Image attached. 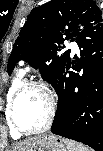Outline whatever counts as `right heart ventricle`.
I'll use <instances>...</instances> for the list:
<instances>
[{"instance_id": "obj_1", "label": "right heart ventricle", "mask_w": 103, "mask_h": 151, "mask_svg": "<svg viewBox=\"0 0 103 151\" xmlns=\"http://www.w3.org/2000/svg\"><path fill=\"white\" fill-rule=\"evenodd\" d=\"M24 71H20L17 76L14 78L10 88L8 89L7 95H6V104H5V118L9 126V132L12 138L19 139L21 137V134L17 132L14 127L12 126L10 119H9V104L10 100L15 93V91L23 84L24 82Z\"/></svg>"}]
</instances>
